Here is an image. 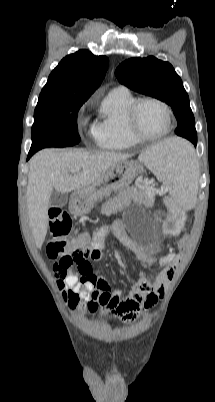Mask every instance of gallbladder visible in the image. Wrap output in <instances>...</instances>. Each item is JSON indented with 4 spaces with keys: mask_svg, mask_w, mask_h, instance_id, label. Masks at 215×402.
<instances>
[{
    "mask_svg": "<svg viewBox=\"0 0 215 402\" xmlns=\"http://www.w3.org/2000/svg\"><path fill=\"white\" fill-rule=\"evenodd\" d=\"M68 202V195L65 193H60L57 190H54L49 199V206L51 208L55 207H63Z\"/></svg>",
    "mask_w": 215,
    "mask_h": 402,
    "instance_id": "gallbladder-1",
    "label": "gallbladder"
}]
</instances>
